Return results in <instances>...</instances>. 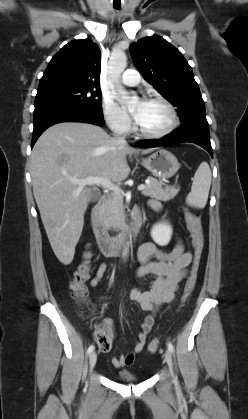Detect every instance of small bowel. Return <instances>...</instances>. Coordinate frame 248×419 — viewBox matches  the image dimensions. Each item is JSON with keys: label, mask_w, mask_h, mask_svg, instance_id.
Returning a JSON list of instances; mask_svg holds the SVG:
<instances>
[{"label": "small bowel", "mask_w": 248, "mask_h": 419, "mask_svg": "<svg viewBox=\"0 0 248 419\" xmlns=\"http://www.w3.org/2000/svg\"><path fill=\"white\" fill-rule=\"evenodd\" d=\"M150 207L158 211L160 204L156 200L150 201ZM140 266L135 272L136 278L145 276L153 277L151 288L148 291H141L134 287L130 290L129 298L137 303L141 309L153 313L144 317L141 324V331L138 340L131 352L116 356L112 359L114 367L130 366L135 362V357L144 349L147 336L150 333L154 322V312L161 304L173 300L180 282L188 276L189 266L192 263V253L185 250L180 240H177L170 250L160 248L154 243L142 244L137 252ZM107 264L102 263L90 280V286L96 287L104 277ZM110 323V321H108ZM100 352L108 353L112 349V339L106 344L98 345Z\"/></svg>", "instance_id": "c3829d8e"}]
</instances>
